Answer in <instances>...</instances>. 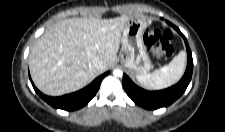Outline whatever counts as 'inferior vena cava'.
Segmentation results:
<instances>
[{
	"instance_id": "inferior-vena-cava-1",
	"label": "inferior vena cava",
	"mask_w": 225,
	"mask_h": 132,
	"mask_svg": "<svg viewBox=\"0 0 225 132\" xmlns=\"http://www.w3.org/2000/svg\"><path fill=\"white\" fill-rule=\"evenodd\" d=\"M89 68L95 72V73H102L104 72V62L100 59H94L90 64H89Z\"/></svg>"
}]
</instances>
